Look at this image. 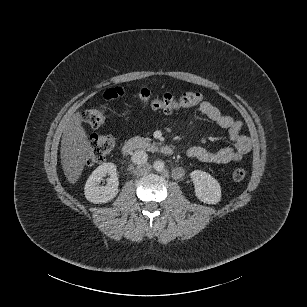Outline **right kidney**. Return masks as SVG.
I'll return each instance as SVG.
<instances>
[{
  "mask_svg": "<svg viewBox=\"0 0 307 307\" xmlns=\"http://www.w3.org/2000/svg\"><path fill=\"white\" fill-rule=\"evenodd\" d=\"M104 174L110 177L107 179V186H98ZM84 193L90 203L105 204L113 200L119 193L116 165L103 163L98 166L87 179Z\"/></svg>",
  "mask_w": 307,
  "mask_h": 307,
  "instance_id": "right-kidney-1",
  "label": "right kidney"
}]
</instances>
